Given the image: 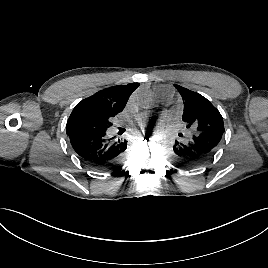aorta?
<instances>
[{
	"instance_id": "aorta-1",
	"label": "aorta",
	"mask_w": 268,
	"mask_h": 268,
	"mask_svg": "<svg viewBox=\"0 0 268 268\" xmlns=\"http://www.w3.org/2000/svg\"><path fill=\"white\" fill-rule=\"evenodd\" d=\"M138 103L140 106H142L144 108H149V107H151V104H152V98L150 96H147V95L141 96L138 99ZM154 139L157 143L162 144L166 141L167 136L164 132L159 131L155 134Z\"/></svg>"
}]
</instances>
